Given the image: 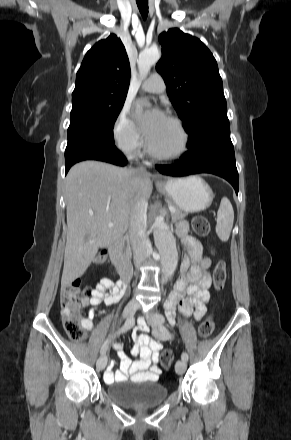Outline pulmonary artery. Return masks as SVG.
Returning <instances> with one entry per match:
<instances>
[{
  "instance_id": "pulmonary-artery-1",
  "label": "pulmonary artery",
  "mask_w": 291,
  "mask_h": 440,
  "mask_svg": "<svg viewBox=\"0 0 291 440\" xmlns=\"http://www.w3.org/2000/svg\"><path fill=\"white\" fill-rule=\"evenodd\" d=\"M142 89L149 93H161L165 89V81L161 75L154 73L143 83Z\"/></svg>"
}]
</instances>
